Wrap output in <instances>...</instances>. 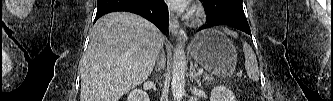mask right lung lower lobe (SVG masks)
Listing matches in <instances>:
<instances>
[{
	"instance_id": "1",
	"label": "right lung lower lobe",
	"mask_w": 333,
	"mask_h": 101,
	"mask_svg": "<svg viewBox=\"0 0 333 101\" xmlns=\"http://www.w3.org/2000/svg\"><path fill=\"white\" fill-rule=\"evenodd\" d=\"M115 11L132 12L143 16L161 31L168 32L169 15L163 0H97L94 22L101 16Z\"/></svg>"
}]
</instances>
